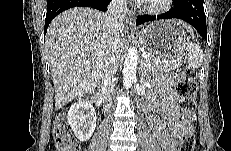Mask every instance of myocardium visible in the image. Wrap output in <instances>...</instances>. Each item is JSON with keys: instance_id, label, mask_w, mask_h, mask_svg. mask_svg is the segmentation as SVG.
Instances as JSON below:
<instances>
[{"instance_id": "1", "label": "myocardium", "mask_w": 231, "mask_h": 151, "mask_svg": "<svg viewBox=\"0 0 231 151\" xmlns=\"http://www.w3.org/2000/svg\"><path fill=\"white\" fill-rule=\"evenodd\" d=\"M172 2V0L149 1L142 6V10L151 15L161 14L169 9Z\"/></svg>"}]
</instances>
